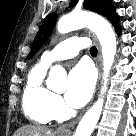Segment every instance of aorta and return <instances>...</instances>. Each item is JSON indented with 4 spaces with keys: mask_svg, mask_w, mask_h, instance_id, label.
Returning a JSON list of instances; mask_svg holds the SVG:
<instances>
[{
    "mask_svg": "<svg viewBox=\"0 0 136 136\" xmlns=\"http://www.w3.org/2000/svg\"><path fill=\"white\" fill-rule=\"evenodd\" d=\"M83 27L90 28L95 34L102 47L103 57V86L101 94L107 89L109 71L113 65L116 54V36L110 23L103 17L86 11H73L60 18L57 24V30L60 34H65ZM48 87L58 93L66 89V72L60 65H55L50 69L48 78ZM103 98H99L89 111L79 122L74 136H91L97 122L99 121Z\"/></svg>",
    "mask_w": 136,
    "mask_h": 136,
    "instance_id": "762f6f07",
    "label": "aorta"
}]
</instances>
